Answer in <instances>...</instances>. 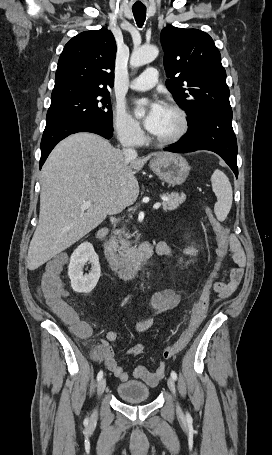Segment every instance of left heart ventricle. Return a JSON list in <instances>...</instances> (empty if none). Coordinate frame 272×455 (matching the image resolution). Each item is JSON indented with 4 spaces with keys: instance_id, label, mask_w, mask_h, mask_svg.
Listing matches in <instances>:
<instances>
[{
    "instance_id": "1",
    "label": "left heart ventricle",
    "mask_w": 272,
    "mask_h": 455,
    "mask_svg": "<svg viewBox=\"0 0 272 455\" xmlns=\"http://www.w3.org/2000/svg\"><path fill=\"white\" fill-rule=\"evenodd\" d=\"M178 127L179 120L176 113L165 107L159 126L153 134L161 138L169 137L177 131Z\"/></svg>"
}]
</instances>
